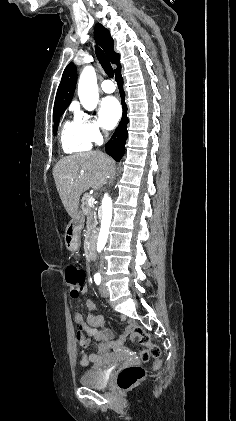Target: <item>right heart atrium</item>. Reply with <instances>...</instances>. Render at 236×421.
<instances>
[{
    "mask_svg": "<svg viewBox=\"0 0 236 421\" xmlns=\"http://www.w3.org/2000/svg\"><path fill=\"white\" fill-rule=\"evenodd\" d=\"M75 121L81 126L91 142L98 143L104 138V131L99 118L84 110H77Z\"/></svg>",
    "mask_w": 236,
    "mask_h": 421,
    "instance_id": "right-heart-atrium-1",
    "label": "right heart atrium"
}]
</instances>
